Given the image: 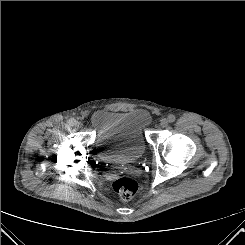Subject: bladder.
Returning a JSON list of instances; mask_svg holds the SVG:
<instances>
[{"instance_id":"1","label":"bladder","mask_w":245,"mask_h":245,"mask_svg":"<svg viewBox=\"0 0 245 245\" xmlns=\"http://www.w3.org/2000/svg\"><path fill=\"white\" fill-rule=\"evenodd\" d=\"M101 160L109 164L131 163L146 150V129L151 115L144 108L103 109L91 116Z\"/></svg>"}]
</instances>
